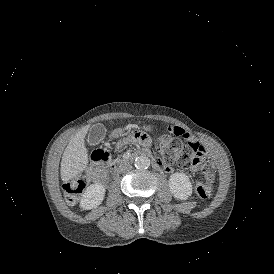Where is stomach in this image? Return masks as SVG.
Returning <instances> with one entry per match:
<instances>
[{
  "label": "stomach",
  "instance_id": "stomach-1",
  "mask_svg": "<svg viewBox=\"0 0 274 274\" xmlns=\"http://www.w3.org/2000/svg\"><path fill=\"white\" fill-rule=\"evenodd\" d=\"M115 133L117 134V133H119V131H115Z\"/></svg>",
  "mask_w": 274,
  "mask_h": 274
}]
</instances>
